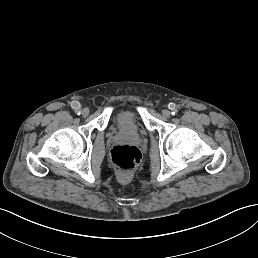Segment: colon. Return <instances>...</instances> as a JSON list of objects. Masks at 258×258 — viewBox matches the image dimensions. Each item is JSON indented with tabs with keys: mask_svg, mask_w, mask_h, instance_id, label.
I'll use <instances>...</instances> for the list:
<instances>
[{
	"mask_svg": "<svg viewBox=\"0 0 258 258\" xmlns=\"http://www.w3.org/2000/svg\"><path fill=\"white\" fill-rule=\"evenodd\" d=\"M141 160L140 150L132 145H116L110 151V161L120 180H127Z\"/></svg>",
	"mask_w": 258,
	"mask_h": 258,
	"instance_id": "1",
	"label": "colon"
}]
</instances>
